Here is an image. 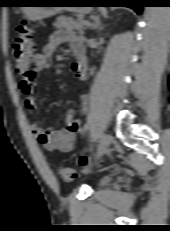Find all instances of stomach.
<instances>
[{
    "instance_id": "stomach-1",
    "label": "stomach",
    "mask_w": 170,
    "mask_h": 231,
    "mask_svg": "<svg viewBox=\"0 0 170 231\" xmlns=\"http://www.w3.org/2000/svg\"><path fill=\"white\" fill-rule=\"evenodd\" d=\"M64 1H55V0H32L27 1L26 3L31 4H56V3H62ZM71 11V12H77V13H88L91 11L90 7H23L22 11L24 15L32 21L41 20L44 18H49L57 13H60L62 11Z\"/></svg>"
}]
</instances>
